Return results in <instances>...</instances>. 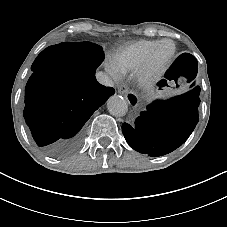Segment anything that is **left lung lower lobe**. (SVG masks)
Returning <instances> with one entry per match:
<instances>
[{
    "label": "left lung lower lobe",
    "mask_w": 227,
    "mask_h": 227,
    "mask_svg": "<svg viewBox=\"0 0 227 227\" xmlns=\"http://www.w3.org/2000/svg\"><path fill=\"white\" fill-rule=\"evenodd\" d=\"M191 81L196 73H184ZM200 88L170 99L155 101L136 119L135 127L122 124L128 144L149 156H163L181 146L193 132L198 118Z\"/></svg>",
    "instance_id": "left-lung-lower-lobe-1"
}]
</instances>
